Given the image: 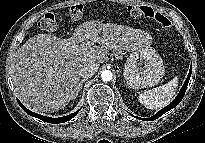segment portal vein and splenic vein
Instances as JSON below:
<instances>
[{"label": "portal vein and splenic vein", "mask_w": 205, "mask_h": 143, "mask_svg": "<svg viewBox=\"0 0 205 143\" xmlns=\"http://www.w3.org/2000/svg\"><path fill=\"white\" fill-rule=\"evenodd\" d=\"M87 45H88V46L92 45V42H87Z\"/></svg>", "instance_id": "obj_1"}]
</instances>
